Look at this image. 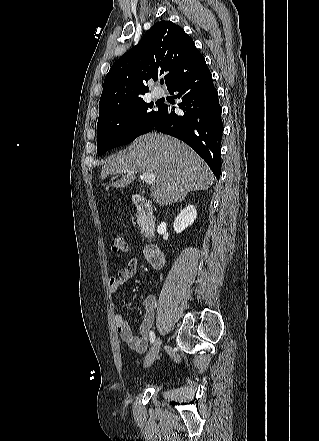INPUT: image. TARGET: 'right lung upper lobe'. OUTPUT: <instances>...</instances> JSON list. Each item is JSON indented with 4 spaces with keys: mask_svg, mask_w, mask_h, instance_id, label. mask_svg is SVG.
<instances>
[{
    "mask_svg": "<svg viewBox=\"0 0 319 441\" xmlns=\"http://www.w3.org/2000/svg\"><path fill=\"white\" fill-rule=\"evenodd\" d=\"M202 60L192 38L181 27L171 21L157 22L112 65L104 80L99 111L142 99L149 91L147 82L162 74L169 88Z\"/></svg>",
    "mask_w": 319,
    "mask_h": 441,
    "instance_id": "right-lung-upper-lobe-1",
    "label": "right lung upper lobe"
}]
</instances>
